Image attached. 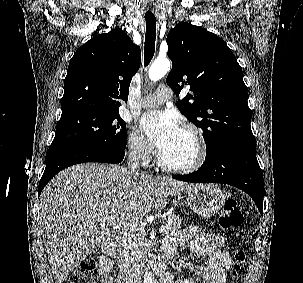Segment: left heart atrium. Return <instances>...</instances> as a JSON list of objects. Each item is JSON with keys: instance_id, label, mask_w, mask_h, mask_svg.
Returning <instances> with one entry per match:
<instances>
[{"instance_id": "obj_1", "label": "left heart atrium", "mask_w": 303, "mask_h": 283, "mask_svg": "<svg viewBox=\"0 0 303 283\" xmlns=\"http://www.w3.org/2000/svg\"><path fill=\"white\" fill-rule=\"evenodd\" d=\"M140 126L149 140L160 151L164 150L181 129L171 111H152L143 116Z\"/></svg>"}]
</instances>
